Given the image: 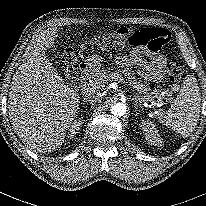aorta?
<instances>
[{"label": "aorta", "mask_w": 206, "mask_h": 206, "mask_svg": "<svg viewBox=\"0 0 206 206\" xmlns=\"http://www.w3.org/2000/svg\"><path fill=\"white\" fill-rule=\"evenodd\" d=\"M126 105L124 103L118 102L111 106V113L115 116H123L126 113Z\"/></svg>", "instance_id": "aorta-1"}]
</instances>
